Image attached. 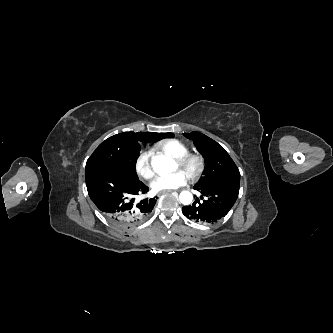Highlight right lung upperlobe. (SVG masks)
Wrapping results in <instances>:
<instances>
[{"instance_id":"cb5924a9","label":"right lung upper lobe","mask_w":333,"mask_h":333,"mask_svg":"<svg viewBox=\"0 0 333 333\" xmlns=\"http://www.w3.org/2000/svg\"><path fill=\"white\" fill-rule=\"evenodd\" d=\"M123 135L125 136L127 142L130 143L131 147L135 150L140 149V143L139 142H156L162 138L157 137V133H150V132H124Z\"/></svg>"}]
</instances>
